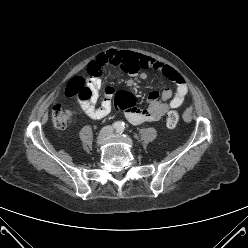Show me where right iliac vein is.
<instances>
[{
	"label": "right iliac vein",
	"mask_w": 248,
	"mask_h": 248,
	"mask_svg": "<svg viewBox=\"0 0 248 248\" xmlns=\"http://www.w3.org/2000/svg\"><path fill=\"white\" fill-rule=\"evenodd\" d=\"M108 135H109V128L107 127L103 128L97 137L96 145L100 146L104 142V140L108 137Z\"/></svg>",
	"instance_id": "right-iliac-vein-1"
}]
</instances>
